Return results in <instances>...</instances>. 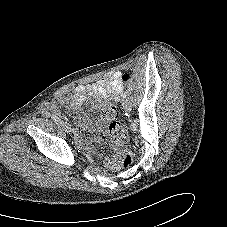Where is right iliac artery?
<instances>
[{"mask_svg": "<svg viewBox=\"0 0 227 227\" xmlns=\"http://www.w3.org/2000/svg\"><path fill=\"white\" fill-rule=\"evenodd\" d=\"M51 118L55 121H60V118L56 115H52Z\"/></svg>", "mask_w": 227, "mask_h": 227, "instance_id": "right-iliac-artery-1", "label": "right iliac artery"}]
</instances>
